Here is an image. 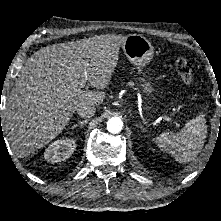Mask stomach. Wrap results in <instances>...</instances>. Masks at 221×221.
Here are the masks:
<instances>
[{
	"label": "stomach",
	"instance_id": "0dacf381",
	"mask_svg": "<svg viewBox=\"0 0 221 221\" xmlns=\"http://www.w3.org/2000/svg\"><path fill=\"white\" fill-rule=\"evenodd\" d=\"M122 49L127 59L139 67H144L149 64L154 54V48L151 42L139 34L128 35L122 44ZM141 86L147 95H150L154 91L152 85L144 80ZM150 108L148 104L145 106L147 111H149Z\"/></svg>",
	"mask_w": 221,
	"mask_h": 221
}]
</instances>
